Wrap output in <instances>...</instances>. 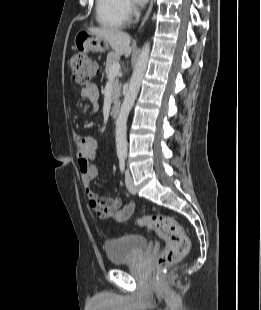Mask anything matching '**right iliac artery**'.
I'll return each instance as SVG.
<instances>
[{
    "label": "right iliac artery",
    "mask_w": 261,
    "mask_h": 310,
    "mask_svg": "<svg viewBox=\"0 0 261 310\" xmlns=\"http://www.w3.org/2000/svg\"><path fill=\"white\" fill-rule=\"evenodd\" d=\"M120 171L123 173L125 171V158H119Z\"/></svg>",
    "instance_id": "right-iliac-artery-1"
}]
</instances>
